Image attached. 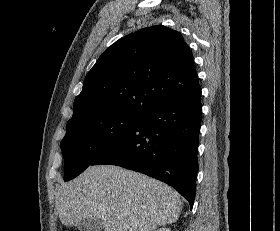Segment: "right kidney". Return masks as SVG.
I'll return each instance as SVG.
<instances>
[{
  "mask_svg": "<svg viewBox=\"0 0 280 231\" xmlns=\"http://www.w3.org/2000/svg\"><path fill=\"white\" fill-rule=\"evenodd\" d=\"M155 231H171L168 227H159V229H155Z\"/></svg>",
  "mask_w": 280,
  "mask_h": 231,
  "instance_id": "right-kidney-1",
  "label": "right kidney"
}]
</instances>
